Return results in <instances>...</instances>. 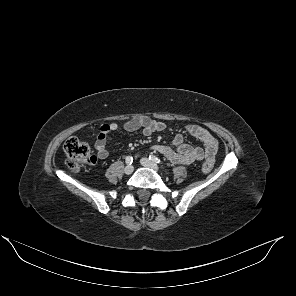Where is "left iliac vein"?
Instances as JSON below:
<instances>
[{
    "label": "left iliac vein",
    "instance_id": "obj_1",
    "mask_svg": "<svg viewBox=\"0 0 296 296\" xmlns=\"http://www.w3.org/2000/svg\"><path fill=\"white\" fill-rule=\"evenodd\" d=\"M140 163H141V165L144 166V167H148V168H151V169H153V170H155V171H159V167H158L155 163L151 162V161H150L149 159H147V158H142V159L140 160Z\"/></svg>",
    "mask_w": 296,
    "mask_h": 296
}]
</instances>
